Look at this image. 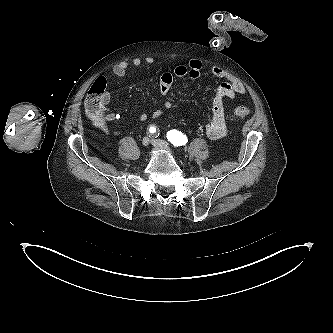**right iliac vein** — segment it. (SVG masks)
Returning <instances> with one entry per match:
<instances>
[{
	"instance_id": "63e3f726",
	"label": "right iliac vein",
	"mask_w": 333,
	"mask_h": 333,
	"mask_svg": "<svg viewBox=\"0 0 333 333\" xmlns=\"http://www.w3.org/2000/svg\"><path fill=\"white\" fill-rule=\"evenodd\" d=\"M149 143H150L149 137H144L143 140H142L143 146H148Z\"/></svg>"
}]
</instances>
